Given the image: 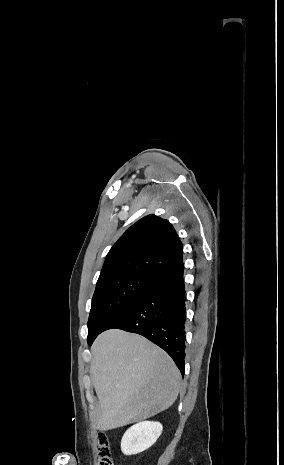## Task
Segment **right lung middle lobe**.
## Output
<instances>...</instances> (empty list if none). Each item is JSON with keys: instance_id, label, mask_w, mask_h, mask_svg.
I'll use <instances>...</instances> for the list:
<instances>
[{"instance_id": "right-lung-middle-lobe-1", "label": "right lung middle lobe", "mask_w": 284, "mask_h": 465, "mask_svg": "<svg viewBox=\"0 0 284 465\" xmlns=\"http://www.w3.org/2000/svg\"><path fill=\"white\" fill-rule=\"evenodd\" d=\"M152 281V278L139 275H122L98 281L88 319V343Z\"/></svg>"}]
</instances>
